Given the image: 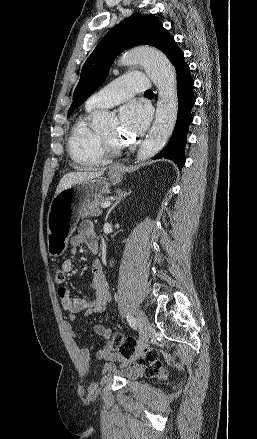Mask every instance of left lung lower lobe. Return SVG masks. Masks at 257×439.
Instances as JSON below:
<instances>
[{
  "mask_svg": "<svg viewBox=\"0 0 257 439\" xmlns=\"http://www.w3.org/2000/svg\"><path fill=\"white\" fill-rule=\"evenodd\" d=\"M166 56L174 65L177 74L178 116L169 143L154 159H170L181 169L185 163L186 136L189 125L193 121L191 109L195 103L194 81L190 75L189 66L184 62L183 52L175 41L169 46Z\"/></svg>",
  "mask_w": 257,
  "mask_h": 439,
  "instance_id": "0a47b994",
  "label": "left lung lower lobe"
}]
</instances>
